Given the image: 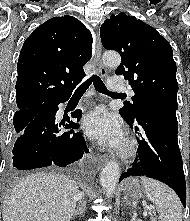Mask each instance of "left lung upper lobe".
<instances>
[{
  "mask_svg": "<svg viewBox=\"0 0 190 221\" xmlns=\"http://www.w3.org/2000/svg\"><path fill=\"white\" fill-rule=\"evenodd\" d=\"M103 46L121 55L117 75H124L135 95L119 110L126 121L138 110L163 106L177 110L176 64L168 41L153 27L133 16L111 15L101 26Z\"/></svg>",
  "mask_w": 190,
  "mask_h": 221,
  "instance_id": "5c2ea615",
  "label": "left lung upper lobe"
}]
</instances>
